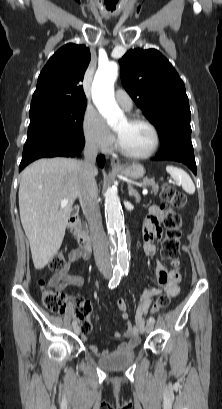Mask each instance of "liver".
<instances>
[{
	"label": "liver",
	"mask_w": 222,
	"mask_h": 409,
	"mask_svg": "<svg viewBox=\"0 0 222 409\" xmlns=\"http://www.w3.org/2000/svg\"><path fill=\"white\" fill-rule=\"evenodd\" d=\"M80 165L71 158H42L21 173L20 219L37 270L61 247L68 215L79 195ZM63 199L68 200L66 205L61 204Z\"/></svg>",
	"instance_id": "obj_1"
}]
</instances>
